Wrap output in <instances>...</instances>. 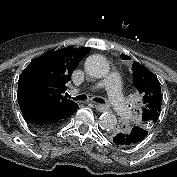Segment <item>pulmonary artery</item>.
<instances>
[{
    "mask_svg": "<svg viewBox=\"0 0 177 177\" xmlns=\"http://www.w3.org/2000/svg\"><path fill=\"white\" fill-rule=\"evenodd\" d=\"M101 87H107L108 99L111 106L120 114L126 115L128 108L125 105L124 98L121 92V78L117 72H112L108 79L98 83L91 89H97ZM77 89L71 90V93H77Z\"/></svg>",
    "mask_w": 177,
    "mask_h": 177,
    "instance_id": "pulmonary-artery-1",
    "label": "pulmonary artery"
}]
</instances>
